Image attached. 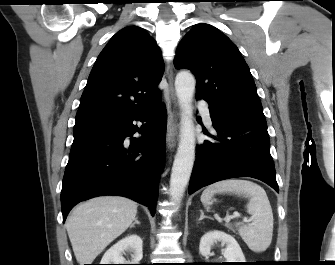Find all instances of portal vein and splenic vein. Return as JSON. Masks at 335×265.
<instances>
[{"label": "portal vein and splenic vein", "instance_id": "obj_1", "mask_svg": "<svg viewBox=\"0 0 335 265\" xmlns=\"http://www.w3.org/2000/svg\"><path fill=\"white\" fill-rule=\"evenodd\" d=\"M238 216H239V214H233L231 216H228L226 218V222H229L232 218H235V217H238ZM250 221H251L250 219L244 218V222L249 223Z\"/></svg>", "mask_w": 335, "mask_h": 265}]
</instances>
